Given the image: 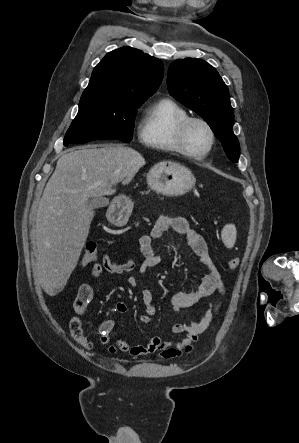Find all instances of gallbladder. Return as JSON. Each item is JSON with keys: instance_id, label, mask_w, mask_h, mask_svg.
<instances>
[{"instance_id": "obj_1", "label": "gallbladder", "mask_w": 299, "mask_h": 443, "mask_svg": "<svg viewBox=\"0 0 299 443\" xmlns=\"http://www.w3.org/2000/svg\"><path fill=\"white\" fill-rule=\"evenodd\" d=\"M108 203H109L108 199L103 197H95L88 200V204L94 209H99L101 207H104L108 205Z\"/></svg>"}]
</instances>
